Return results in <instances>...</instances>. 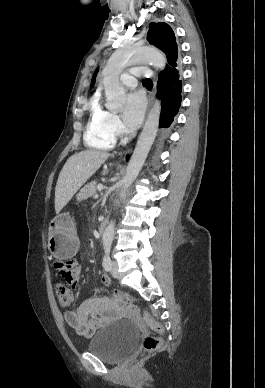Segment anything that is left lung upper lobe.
Listing matches in <instances>:
<instances>
[{
	"label": "left lung upper lobe",
	"instance_id": "left-lung-upper-lobe-1",
	"mask_svg": "<svg viewBox=\"0 0 265 388\" xmlns=\"http://www.w3.org/2000/svg\"><path fill=\"white\" fill-rule=\"evenodd\" d=\"M147 39L150 44L162 50L167 57L166 69L177 67L180 64L177 44L171 27L164 23H150Z\"/></svg>",
	"mask_w": 265,
	"mask_h": 388
}]
</instances>
